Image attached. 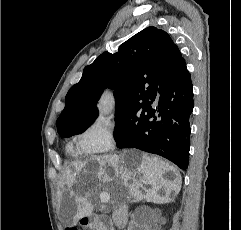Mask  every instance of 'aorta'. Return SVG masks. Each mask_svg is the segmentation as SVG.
Instances as JSON below:
<instances>
[{
  "label": "aorta",
  "instance_id": "762f6f07",
  "mask_svg": "<svg viewBox=\"0 0 241 230\" xmlns=\"http://www.w3.org/2000/svg\"><path fill=\"white\" fill-rule=\"evenodd\" d=\"M98 110L101 116H108L113 108V99L109 92H105L98 102Z\"/></svg>",
  "mask_w": 241,
  "mask_h": 230
}]
</instances>
